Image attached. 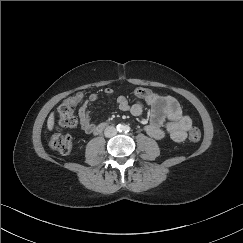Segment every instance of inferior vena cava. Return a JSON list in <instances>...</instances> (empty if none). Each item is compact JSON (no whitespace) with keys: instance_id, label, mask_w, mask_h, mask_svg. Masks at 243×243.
Returning a JSON list of instances; mask_svg holds the SVG:
<instances>
[{"instance_id":"obj_1","label":"inferior vena cava","mask_w":243,"mask_h":243,"mask_svg":"<svg viewBox=\"0 0 243 243\" xmlns=\"http://www.w3.org/2000/svg\"><path fill=\"white\" fill-rule=\"evenodd\" d=\"M117 134V129L114 126L106 127L104 135L108 138L113 137Z\"/></svg>"}]
</instances>
